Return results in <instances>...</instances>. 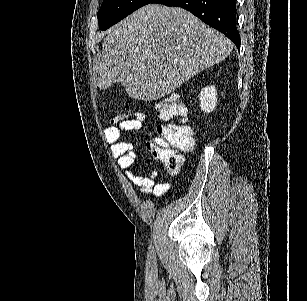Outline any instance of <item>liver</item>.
Segmentation results:
<instances>
[{"label":"liver","instance_id":"obj_1","mask_svg":"<svg viewBox=\"0 0 307 301\" xmlns=\"http://www.w3.org/2000/svg\"><path fill=\"white\" fill-rule=\"evenodd\" d=\"M96 84L121 82L131 98L156 100L225 60L233 42L180 6L146 4L105 32Z\"/></svg>","mask_w":307,"mask_h":301}]
</instances>
